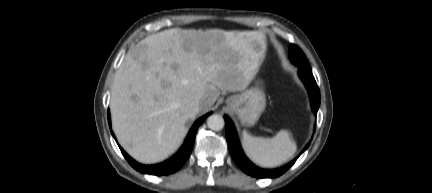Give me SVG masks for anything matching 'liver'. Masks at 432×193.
Wrapping results in <instances>:
<instances>
[{"mask_svg":"<svg viewBox=\"0 0 432 193\" xmlns=\"http://www.w3.org/2000/svg\"><path fill=\"white\" fill-rule=\"evenodd\" d=\"M258 31L173 28L130 49L111 89L112 127L135 160L158 163L182 144L197 113L220 91H243L266 56ZM200 100L198 112L190 103Z\"/></svg>","mask_w":432,"mask_h":193,"instance_id":"6515ba94","label":"liver"}]
</instances>
